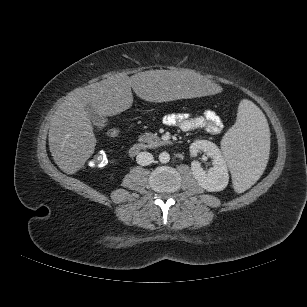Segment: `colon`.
I'll list each match as a JSON object with an SVG mask.
<instances>
[{
  "label": "colon",
  "mask_w": 307,
  "mask_h": 307,
  "mask_svg": "<svg viewBox=\"0 0 307 307\" xmlns=\"http://www.w3.org/2000/svg\"><path fill=\"white\" fill-rule=\"evenodd\" d=\"M120 134V130L118 128H110L107 130V135L111 138H116ZM111 155L104 151H97L93 155H91L87 160V165L90 168H100L104 167L111 162Z\"/></svg>",
  "instance_id": "colon-1"
}]
</instances>
